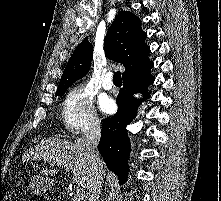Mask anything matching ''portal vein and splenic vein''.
<instances>
[{
    "label": "portal vein and splenic vein",
    "mask_w": 221,
    "mask_h": 201,
    "mask_svg": "<svg viewBox=\"0 0 221 201\" xmlns=\"http://www.w3.org/2000/svg\"><path fill=\"white\" fill-rule=\"evenodd\" d=\"M61 165V164H59ZM67 171H72V168H69L68 166H64ZM84 198V190L83 189H77L76 193L74 195V201H81Z\"/></svg>",
    "instance_id": "portal-vein-and-splenic-vein-1"
}]
</instances>
